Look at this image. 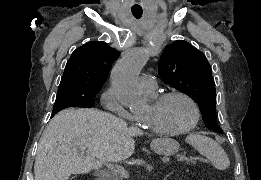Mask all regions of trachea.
Segmentation results:
<instances>
[{
  "instance_id": "obj_1",
  "label": "trachea",
  "mask_w": 261,
  "mask_h": 180,
  "mask_svg": "<svg viewBox=\"0 0 261 180\" xmlns=\"http://www.w3.org/2000/svg\"><path fill=\"white\" fill-rule=\"evenodd\" d=\"M142 10H132V14L135 18L139 19L142 17Z\"/></svg>"
}]
</instances>
